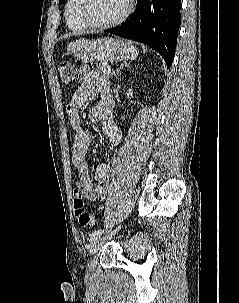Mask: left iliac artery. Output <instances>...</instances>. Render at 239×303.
I'll list each match as a JSON object with an SVG mask.
<instances>
[{
	"label": "left iliac artery",
	"mask_w": 239,
	"mask_h": 303,
	"mask_svg": "<svg viewBox=\"0 0 239 303\" xmlns=\"http://www.w3.org/2000/svg\"><path fill=\"white\" fill-rule=\"evenodd\" d=\"M103 232H104V230L98 229L97 231H95V232H93V233L91 234L90 239L92 240V239H94V238H96V237H99Z\"/></svg>",
	"instance_id": "1"
}]
</instances>
